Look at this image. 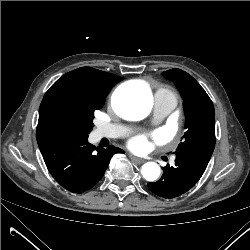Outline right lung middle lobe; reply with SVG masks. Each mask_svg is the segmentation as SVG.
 I'll use <instances>...</instances> for the list:
<instances>
[{"mask_svg":"<svg viewBox=\"0 0 250 250\" xmlns=\"http://www.w3.org/2000/svg\"><path fill=\"white\" fill-rule=\"evenodd\" d=\"M107 93L102 97L87 101H79L75 105L79 129L77 134L88 136L93 129L94 111L101 109L105 103Z\"/></svg>","mask_w":250,"mask_h":250,"instance_id":"obj_1","label":"right lung middle lobe"}]
</instances>
